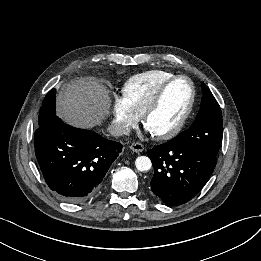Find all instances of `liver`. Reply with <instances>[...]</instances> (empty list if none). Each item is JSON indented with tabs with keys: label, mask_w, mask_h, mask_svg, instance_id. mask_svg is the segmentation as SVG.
<instances>
[{
	"label": "liver",
	"mask_w": 261,
	"mask_h": 261,
	"mask_svg": "<svg viewBox=\"0 0 261 261\" xmlns=\"http://www.w3.org/2000/svg\"><path fill=\"white\" fill-rule=\"evenodd\" d=\"M109 91L94 77L79 78L62 86L57 96V114L81 128L100 125L110 107Z\"/></svg>",
	"instance_id": "1"
}]
</instances>
